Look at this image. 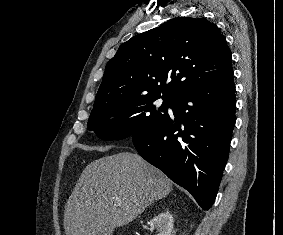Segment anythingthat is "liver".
<instances>
[{
	"mask_svg": "<svg viewBox=\"0 0 283 235\" xmlns=\"http://www.w3.org/2000/svg\"><path fill=\"white\" fill-rule=\"evenodd\" d=\"M171 190V180L138 154L121 152L95 160L83 170L67 201L65 233L111 235Z\"/></svg>",
	"mask_w": 283,
	"mask_h": 235,
	"instance_id": "liver-1",
	"label": "liver"
}]
</instances>
